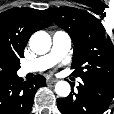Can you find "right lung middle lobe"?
Segmentation results:
<instances>
[{
  "mask_svg": "<svg viewBox=\"0 0 114 114\" xmlns=\"http://www.w3.org/2000/svg\"><path fill=\"white\" fill-rule=\"evenodd\" d=\"M20 68L19 64L5 65L0 63V82L11 79L16 75V71Z\"/></svg>",
  "mask_w": 114,
  "mask_h": 114,
  "instance_id": "dd1d6c3e",
  "label": "right lung middle lobe"
}]
</instances>
